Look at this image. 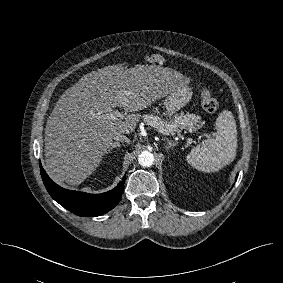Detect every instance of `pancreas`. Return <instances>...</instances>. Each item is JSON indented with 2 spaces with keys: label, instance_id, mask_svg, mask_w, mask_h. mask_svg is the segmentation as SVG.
Returning <instances> with one entry per match:
<instances>
[{
  "label": "pancreas",
  "instance_id": "pancreas-1",
  "mask_svg": "<svg viewBox=\"0 0 283 283\" xmlns=\"http://www.w3.org/2000/svg\"><path fill=\"white\" fill-rule=\"evenodd\" d=\"M143 121L159 132L173 134L182 129H193L194 125L199 121V116H196L195 114H186L176 116L173 121L168 122L160 116L145 114L143 116Z\"/></svg>",
  "mask_w": 283,
  "mask_h": 283
}]
</instances>
